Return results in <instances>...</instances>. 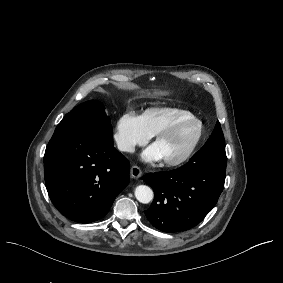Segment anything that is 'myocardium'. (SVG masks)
I'll return each mask as SVG.
<instances>
[{
	"instance_id": "myocardium-1",
	"label": "myocardium",
	"mask_w": 283,
	"mask_h": 283,
	"mask_svg": "<svg viewBox=\"0 0 283 283\" xmlns=\"http://www.w3.org/2000/svg\"><path fill=\"white\" fill-rule=\"evenodd\" d=\"M188 122H193L195 124L194 137H193L189 147L187 148V150L179 158H177V159H165L164 160V162L167 166H170V167L181 166L192 158V156L197 151V149H198V147H199V145L202 141V138H203V134H204L203 123L199 118H197L193 115L184 116V117L177 119L173 124H171L169 127L164 129L163 131L159 132L156 136L157 142L169 139L176 134V132L179 130V128L181 126H183L184 124H186Z\"/></svg>"
}]
</instances>
